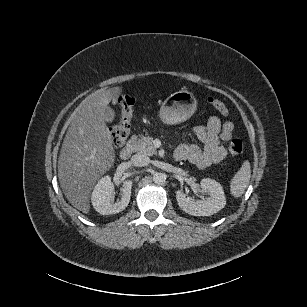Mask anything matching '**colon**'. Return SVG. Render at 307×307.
<instances>
[{
  "instance_id": "1",
  "label": "colon",
  "mask_w": 307,
  "mask_h": 307,
  "mask_svg": "<svg viewBox=\"0 0 307 307\" xmlns=\"http://www.w3.org/2000/svg\"><path fill=\"white\" fill-rule=\"evenodd\" d=\"M120 102L122 104L121 121L110 129L115 146H121L129 135L134 106V99L127 94L120 97ZM207 102L221 115L227 116L229 114L227 106L221 100L209 97ZM243 149L244 146L240 139L235 138L229 144V151L233 156L240 155Z\"/></svg>"
}]
</instances>
